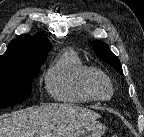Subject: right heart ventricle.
<instances>
[{
	"mask_svg": "<svg viewBox=\"0 0 144 137\" xmlns=\"http://www.w3.org/2000/svg\"><path fill=\"white\" fill-rule=\"evenodd\" d=\"M90 70L72 49L64 50L49 66L44 82L48 94L56 101L79 105L94 101L83 88V79Z\"/></svg>",
	"mask_w": 144,
	"mask_h": 137,
	"instance_id": "1",
	"label": "right heart ventricle"
}]
</instances>
